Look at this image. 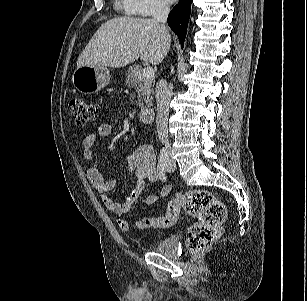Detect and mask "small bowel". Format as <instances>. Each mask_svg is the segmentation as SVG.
I'll use <instances>...</instances> for the list:
<instances>
[{"label": "small bowel", "instance_id": "obj_1", "mask_svg": "<svg viewBox=\"0 0 307 301\" xmlns=\"http://www.w3.org/2000/svg\"><path fill=\"white\" fill-rule=\"evenodd\" d=\"M113 128L109 123H102L96 131L89 132L82 141L83 159L87 164L93 161V147L99 138H105L112 134ZM126 161L130 170L137 176V184L131 194L122 202L113 200L109 193L116 186V180L105 181L100 172L93 166L87 170V177L93 187L101 195L102 201L110 212L117 216L119 228L127 232L130 229L129 221L123 217L128 213L136 200L141 195L146 181L156 182L159 180V172L156 165L154 150L149 145L138 147L132 154L127 155ZM170 194V187L162 185L157 194H150L144 198L146 206H152L159 197L166 198Z\"/></svg>", "mask_w": 307, "mask_h": 301}]
</instances>
